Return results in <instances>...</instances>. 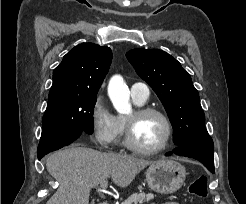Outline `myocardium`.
<instances>
[{"instance_id":"f54148a6","label":"myocardium","mask_w":246,"mask_h":204,"mask_svg":"<svg viewBox=\"0 0 246 204\" xmlns=\"http://www.w3.org/2000/svg\"><path fill=\"white\" fill-rule=\"evenodd\" d=\"M148 115H157L159 116L165 123L166 125V136L163 141V143L152 149L144 148L140 146L136 140H135V125H136V120ZM173 125L166 113L163 111L154 108V107H140L137 108L134 111V116L133 117H126L125 118V131H124V144L127 148L130 150L142 154V155H154L157 153H160L164 151L170 144L172 138H173Z\"/></svg>"}]
</instances>
